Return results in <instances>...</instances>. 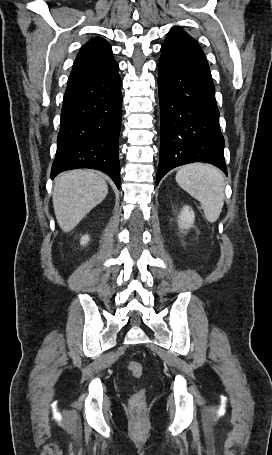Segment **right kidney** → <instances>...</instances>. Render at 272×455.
<instances>
[{
    "label": "right kidney",
    "instance_id": "right-kidney-1",
    "mask_svg": "<svg viewBox=\"0 0 272 455\" xmlns=\"http://www.w3.org/2000/svg\"><path fill=\"white\" fill-rule=\"evenodd\" d=\"M89 240H90L89 236L84 235V236H82L80 243H81V245H86L89 242Z\"/></svg>",
    "mask_w": 272,
    "mask_h": 455
}]
</instances>
